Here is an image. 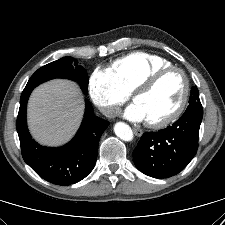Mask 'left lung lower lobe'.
<instances>
[{
    "instance_id": "0a47b994",
    "label": "left lung lower lobe",
    "mask_w": 225,
    "mask_h": 225,
    "mask_svg": "<svg viewBox=\"0 0 225 225\" xmlns=\"http://www.w3.org/2000/svg\"><path fill=\"white\" fill-rule=\"evenodd\" d=\"M202 117L201 103H191L172 126L143 134L133 151L135 166L158 179L178 174L197 152Z\"/></svg>"
}]
</instances>
